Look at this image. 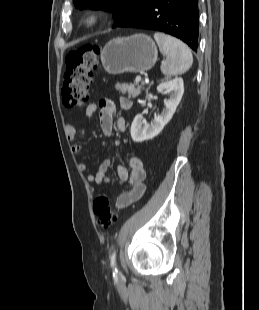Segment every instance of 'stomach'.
<instances>
[{"label": "stomach", "instance_id": "stomach-1", "mask_svg": "<svg viewBox=\"0 0 259 310\" xmlns=\"http://www.w3.org/2000/svg\"><path fill=\"white\" fill-rule=\"evenodd\" d=\"M157 54V47L150 37L136 34L109 41L101 51V61L111 75L138 73L151 69Z\"/></svg>", "mask_w": 259, "mask_h": 310}]
</instances>
